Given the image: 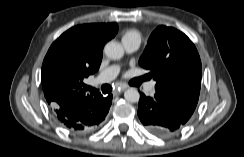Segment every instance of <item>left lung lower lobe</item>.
<instances>
[{
	"label": "left lung lower lobe",
	"mask_w": 244,
	"mask_h": 157,
	"mask_svg": "<svg viewBox=\"0 0 244 157\" xmlns=\"http://www.w3.org/2000/svg\"><path fill=\"white\" fill-rule=\"evenodd\" d=\"M137 114L151 133L161 137H170L180 132L189 120L182 117L169 101L158 93L153 97L141 93Z\"/></svg>",
	"instance_id": "left-lung-lower-lobe-1"
}]
</instances>
